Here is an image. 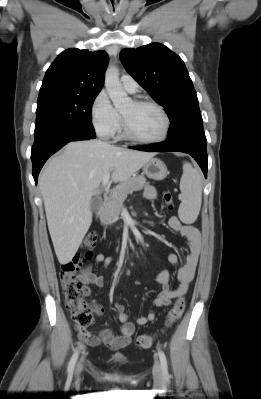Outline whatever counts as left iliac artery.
I'll list each match as a JSON object with an SVG mask.
<instances>
[{
  "instance_id": "left-iliac-artery-1",
  "label": "left iliac artery",
  "mask_w": 261,
  "mask_h": 399,
  "mask_svg": "<svg viewBox=\"0 0 261 399\" xmlns=\"http://www.w3.org/2000/svg\"><path fill=\"white\" fill-rule=\"evenodd\" d=\"M159 358H160V362H161V366H162V373L164 377H168V365H167V359L165 356V353L162 350H159L158 352Z\"/></svg>"
}]
</instances>
